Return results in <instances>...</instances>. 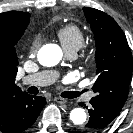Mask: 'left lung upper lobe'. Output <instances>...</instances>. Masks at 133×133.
Masks as SVG:
<instances>
[{
	"mask_svg": "<svg viewBox=\"0 0 133 133\" xmlns=\"http://www.w3.org/2000/svg\"><path fill=\"white\" fill-rule=\"evenodd\" d=\"M96 42V75L94 98L123 108L128 96L133 59L126 36L115 20L106 13L84 7Z\"/></svg>",
	"mask_w": 133,
	"mask_h": 133,
	"instance_id": "obj_1",
	"label": "left lung upper lobe"
}]
</instances>
